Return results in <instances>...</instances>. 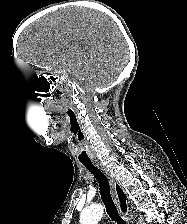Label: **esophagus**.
<instances>
[{"label":"esophagus","mask_w":187,"mask_h":224,"mask_svg":"<svg viewBox=\"0 0 187 224\" xmlns=\"http://www.w3.org/2000/svg\"><path fill=\"white\" fill-rule=\"evenodd\" d=\"M93 163L108 178L113 201L116 204V206L120 209V202H119V199H118V196H117V191H116V182H115V179H114L113 175L110 173V171L102 163H100V162H93ZM122 215H123V219L126 221V224H130L131 223L130 218L125 213H122Z\"/></svg>","instance_id":"obj_1"}]
</instances>
